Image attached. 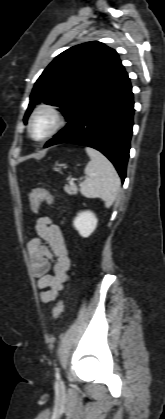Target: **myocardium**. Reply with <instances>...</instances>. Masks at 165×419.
<instances>
[{
	"label": "myocardium",
	"instance_id": "myocardium-1",
	"mask_svg": "<svg viewBox=\"0 0 165 419\" xmlns=\"http://www.w3.org/2000/svg\"><path fill=\"white\" fill-rule=\"evenodd\" d=\"M40 114H48L52 119V125L50 129L44 135H42L41 137H35L32 132V124L34 120ZM63 124H64V116L62 112L60 111V109L52 104L42 103L38 105L29 116V119L27 122V130L30 137L34 141L42 142L54 136L61 129Z\"/></svg>",
	"mask_w": 165,
	"mask_h": 419
}]
</instances>
